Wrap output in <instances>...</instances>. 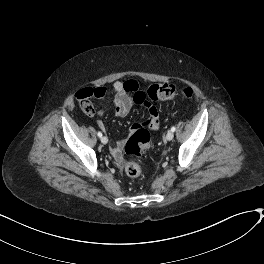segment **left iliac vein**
<instances>
[{"label": "left iliac vein", "instance_id": "1", "mask_svg": "<svg viewBox=\"0 0 264 264\" xmlns=\"http://www.w3.org/2000/svg\"><path fill=\"white\" fill-rule=\"evenodd\" d=\"M174 138V133L172 131L167 132L166 139L171 141Z\"/></svg>", "mask_w": 264, "mask_h": 264}]
</instances>
